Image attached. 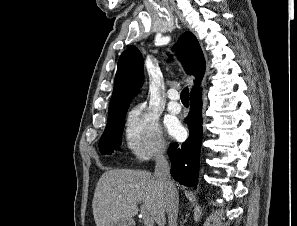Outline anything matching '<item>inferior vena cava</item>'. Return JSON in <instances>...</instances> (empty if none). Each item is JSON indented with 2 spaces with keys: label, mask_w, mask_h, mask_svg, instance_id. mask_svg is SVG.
Instances as JSON below:
<instances>
[{
  "label": "inferior vena cava",
  "mask_w": 297,
  "mask_h": 226,
  "mask_svg": "<svg viewBox=\"0 0 297 226\" xmlns=\"http://www.w3.org/2000/svg\"><path fill=\"white\" fill-rule=\"evenodd\" d=\"M154 176L164 190L168 226H177L179 197L170 175V166L164 151L159 152L157 155Z\"/></svg>",
  "instance_id": "602c4592"
}]
</instances>
